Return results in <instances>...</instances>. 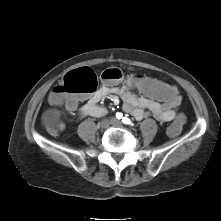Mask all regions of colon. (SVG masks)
<instances>
[{"instance_id": "1", "label": "colon", "mask_w": 221, "mask_h": 221, "mask_svg": "<svg viewBox=\"0 0 221 221\" xmlns=\"http://www.w3.org/2000/svg\"><path fill=\"white\" fill-rule=\"evenodd\" d=\"M122 74L118 69H106L101 74V79L107 83L117 82ZM98 78L96 73L88 68L82 67L69 72L52 91L50 101L58 106L62 103L66 107L79 95L94 93L97 89ZM126 88H131L138 95H145L152 101H158L161 104H170L176 98V89L170 83H164L155 75L145 74L144 72H135L129 70L126 78L123 80ZM188 125L187 114L179 111L171 120V125L166 128V135L169 138H176L181 129Z\"/></svg>"}]
</instances>
